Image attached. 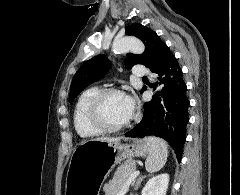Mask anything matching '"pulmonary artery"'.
I'll return each instance as SVG.
<instances>
[{"label":"pulmonary artery","instance_id":"pulmonary-artery-1","mask_svg":"<svg viewBox=\"0 0 240 195\" xmlns=\"http://www.w3.org/2000/svg\"><path fill=\"white\" fill-rule=\"evenodd\" d=\"M148 76L149 75V70L146 69V66L142 65H135L134 66V71H133V76Z\"/></svg>","mask_w":240,"mask_h":195}]
</instances>
